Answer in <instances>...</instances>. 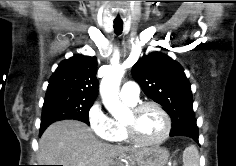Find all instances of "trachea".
<instances>
[{"label":"trachea","mask_w":236,"mask_h":166,"mask_svg":"<svg viewBox=\"0 0 236 166\" xmlns=\"http://www.w3.org/2000/svg\"><path fill=\"white\" fill-rule=\"evenodd\" d=\"M113 27L115 34L120 35L122 33L123 23H114Z\"/></svg>","instance_id":"trachea-1"}]
</instances>
